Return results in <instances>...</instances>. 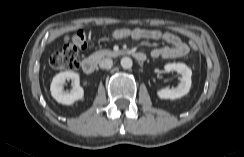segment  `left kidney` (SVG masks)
<instances>
[{"mask_svg":"<svg viewBox=\"0 0 244 157\" xmlns=\"http://www.w3.org/2000/svg\"><path fill=\"white\" fill-rule=\"evenodd\" d=\"M167 72L176 71L181 74V81L176 88H163L157 90V96L160 99H178L188 94L191 87V69L184 63H170L165 65Z\"/></svg>","mask_w":244,"mask_h":157,"instance_id":"5707ae66","label":"left kidney"}]
</instances>
